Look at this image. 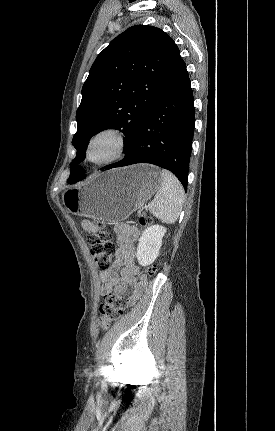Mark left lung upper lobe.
<instances>
[{"label":"left lung upper lobe","mask_w":275,"mask_h":431,"mask_svg":"<svg viewBox=\"0 0 275 431\" xmlns=\"http://www.w3.org/2000/svg\"><path fill=\"white\" fill-rule=\"evenodd\" d=\"M180 58L168 34L143 25L128 28L97 56L76 113L77 132L72 144L77 154L70 164L69 178L84 174L78 163L85 159L90 138L104 128L125 134L127 152Z\"/></svg>","instance_id":"left-lung-upper-lobe-1"}]
</instances>
